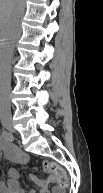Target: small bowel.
<instances>
[{"instance_id":"obj_1","label":"small bowel","mask_w":103,"mask_h":193,"mask_svg":"<svg viewBox=\"0 0 103 193\" xmlns=\"http://www.w3.org/2000/svg\"><path fill=\"white\" fill-rule=\"evenodd\" d=\"M0 147L7 158L20 165H28L29 156L20 151L15 145L8 142L4 137L1 139ZM17 169L10 168L7 171V181L1 187V193H64L62 187L55 185V178L41 179L38 175H32L31 180L35 187L24 190L19 182ZM52 185L51 189L50 186Z\"/></svg>"}]
</instances>
